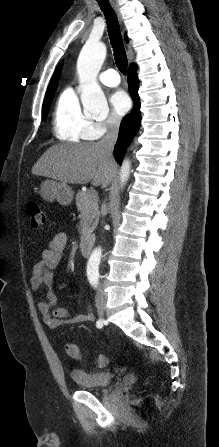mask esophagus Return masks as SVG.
<instances>
[{
    "mask_svg": "<svg viewBox=\"0 0 219 447\" xmlns=\"http://www.w3.org/2000/svg\"><path fill=\"white\" fill-rule=\"evenodd\" d=\"M113 4V6L115 7V10H116V12H117V15H118V17L120 16V14H119V11H118V9H117V7L114 5V3H112Z\"/></svg>",
    "mask_w": 219,
    "mask_h": 447,
    "instance_id": "esophagus-1",
    "label": "esophagus"
}]
</instances>
